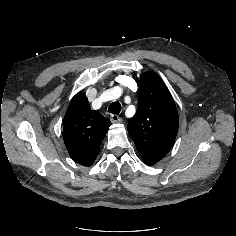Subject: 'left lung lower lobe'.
I'll use <instances>...</instances> for the list:
<instances>
[{
  "label": "left lung lower lobe",
  "mask_w": 236,
  "mask_h": 236,
  "mask_svg": "<svg viewBox=\"0 0 236 236\" xmlns=\"http://www.w3.org/2000/svg\"><path fill=\"white\" fill-rule=\"evenodd\" d=\"M144 160V162L147 164V165H150V166H152V165H155L157 162H155V161H152V160H148V159H143Z\"/></svg>",
  "instance_id": "1"
}]
</instances>
